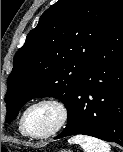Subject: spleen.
<instances>
[{
  "label": "spleen",
  "instance_id": "spleen-1",
  "mask_svg": "<svg viewBox=\"0 0 123 152\" xmlns=\"http://www.w3.org/2000/svg\"><path fill=\"white\" fill-rule=\"evenodd\" d=\"M69 142L79 144L84 152H110L108 143L87 135H76Z\"/></svg>",
  "mask_w": 123,
  "mask_h": 152
}]
</instances>
